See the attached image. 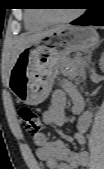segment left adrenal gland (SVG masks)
Returning <instances> with one entry per match:
<instances>
[{"mask_svg":"<svg viewBox=\"0 0 104 169\" xmlns=\"http://www.w3.org/2000/svg\"><path fill=\"white\" fill-rule=\"evenodd\" d=\"M86 61L88 64L91 63V51H89L88 55L86 56Z\"/></svg>","mask_w":104,"mask_h":169,"instance_id":"a2214340","label":"left adrenal gland"}]
</instances>
